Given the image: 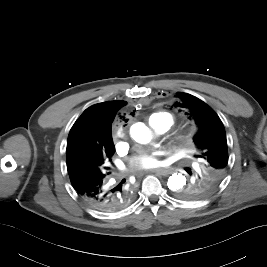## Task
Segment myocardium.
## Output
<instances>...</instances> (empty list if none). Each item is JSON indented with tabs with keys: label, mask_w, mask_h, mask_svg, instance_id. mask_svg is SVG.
<instances>
[{
	"label": "myocardium",
	"mask_w": 267,
	"mask_h": 267,
	"mask_svg": "<svg viewBox=\"0 0 267 267\" xmlns=\"http://www.w3.org/2000/svg\"><path fill=\"white\" fill-rule=\"evenodd\" d=\"M189 144V136L180 135L170 142V147L173 151L184 150Z\"/></svg>",
	"instance_id": "obj_1"
}]
</instances>
